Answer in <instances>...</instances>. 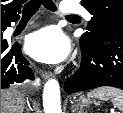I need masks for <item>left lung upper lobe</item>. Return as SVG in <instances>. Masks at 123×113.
<instances>
[{
    "instance_id": "left-lung-upper-lobe-1",
    "label": "left lung upper lobe",
    "mask_w": 123,
    "mask_h": 113,
    "mask_svg": "<svg viewBox=\"0 0 123 113\" xmlns=\"http://www.w3.org/2000/svg\"><path fill=\"white\" fill-rule=\"evenodd\" d=\"M81 5L93 17L88 23V31L82 34L80 40L86 42L96 40L103 22L109 18L123 26V0H82Z\"/></svg>"
}]
</instances>
